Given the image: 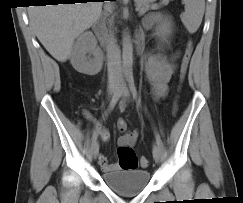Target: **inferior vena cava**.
<instances>
[{
	"label": "inferior vena cava",
	"mask_w": 243,
	"mask_h": 203,
	"mask_svg": "<svg viewBox=\"0 0 243 203\" xmlns=\"http://www.w3.org/2000/svg\"><path fill=\"white\" fill-rule=\"evenodd\" d=\"M109 34H108V75L112 78H119L121 75V54L117 44L114 30L112 29V21L109 20Z\"/></svg>",
	"instance_id": "602c4592"
}]
</instances>
